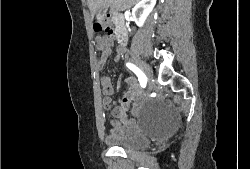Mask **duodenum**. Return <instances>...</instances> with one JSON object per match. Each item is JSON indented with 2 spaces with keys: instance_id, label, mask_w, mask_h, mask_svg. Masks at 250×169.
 <instances>
[{
  "instance_id": "obj_1",
  "label": "duodenum",
  "mask_w": 250,
  "mask_h": 169,
  "mask_svg": "<svg viewBox=\"0 0 250 169\" xmlns=\"http://www.w3.org/2000/svg\"><path fill=\"white\" fill-rule=\"evenodd\" d=\"M114 23L117 28V38L121 43H126L128 39V30L125 25L124 16L122 13L117 12L114 14ZM102 57H100L101 59Z\"/></svg>"
}]
</instances>
